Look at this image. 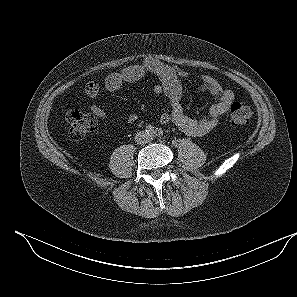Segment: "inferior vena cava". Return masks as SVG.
Instances as JSON below:
<instances>
[{"mask_svg": "<svg viewBox=\"0 0 297 297\" xmlns=\"http://www.w3.org/2000/svg\"><path fill=\"white\" fill-rule=\"evenodd\" d=\"M135 139L137 143L144 144L149 142L150 137L144 131H140L136 134Z\"/></svg>", "mask_w": 297, "mask_h": 297, "instance_id": "1", "label": "inferior vena cava"}]
</instances>
